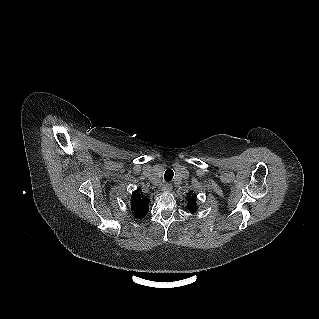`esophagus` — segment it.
<instances>
[{
	"mask_svg": "<svg viewBox=\"0 0 319 319\" xmlns=\"http://www.w3.org/2000/svg\"><path fill=\"white\" fill-rule=\"evenodd\" d=\"M172 190V184L167 183L166 185L163 186L162 191L163 192H170Z\"/></svg>",
	"mask_w": 319,
	"mask_h": 319,
	"instance_id": "34e87169",
	"label": "esophagus"
}]
</instances>
